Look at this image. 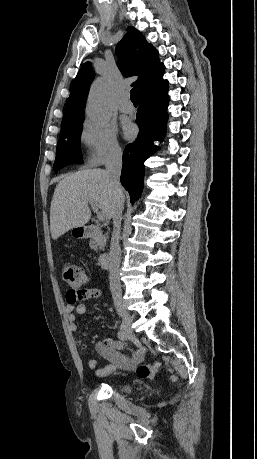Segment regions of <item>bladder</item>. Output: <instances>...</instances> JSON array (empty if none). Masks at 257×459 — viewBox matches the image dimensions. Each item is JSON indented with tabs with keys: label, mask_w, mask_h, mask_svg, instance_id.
Here are the masks:
<instances>
[{
	"label": "bladder",
	"mask_w": 257,
	"mask_h": 459,
	"mask_svg": "<svg viewBox=\"0 0 257 459\" xmlns=\"http://www.w3.org/2000/svg\"><path fill=\"white\" fill-rule=\"evenodd\" d=\"M120 388L125 391H129L132 389V384L130 382L124 381L120 384Z\"/></svg>",
	"instance_id": "1"
}]
</instances>
